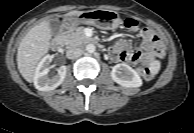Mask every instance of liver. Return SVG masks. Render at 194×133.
Here are the masks:
<instances>
[{
  "instance_id": "1",
  "label": "liver",
  "mask_w": 194,
  "mask_h": 133,
  "mask_svg": "<svg viewBox=\"0 0 194 133\" xmlns=\"http://www.w3.org/2000/svg\"><path fill=\"white\" fill-rule=\"evenodd\" d=\"M81 11H70L64 17H72ZM52 31L48 20H44L30 29L21 40L17 51V66L22 77L33 82L36 66L49 51Z\"/></svg>"
}]
</instances>
